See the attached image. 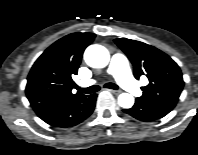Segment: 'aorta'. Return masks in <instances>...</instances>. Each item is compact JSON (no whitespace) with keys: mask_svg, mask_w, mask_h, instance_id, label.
Segmentation results:
<instances>
[{"mask_svg":"<svg viewBox=\"0 0 198 155\" xmlns=\"http://www.w3.org/2000/svg\"><path fill=\"white\" fill-rule=\"evenodd\" d=\"M85 62L93 68H104L108 65L110 54L108 50L98 44L90 45L84 52ZM120 107L129 109L134 105V97L129 93H121L118 96Z\"/></svg>","mask_w":198,"mask_h":155,"instance_id":"obj_1","label":"aorta"}]
</instances>
